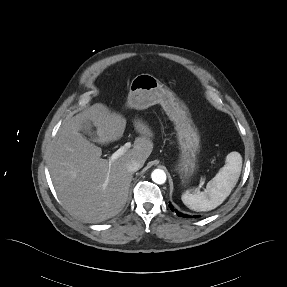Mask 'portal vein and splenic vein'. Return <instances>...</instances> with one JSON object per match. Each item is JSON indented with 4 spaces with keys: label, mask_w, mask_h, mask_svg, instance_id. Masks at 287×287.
I'll return each mask as SVG.
<instances>
[{
    "label": "portal vein and splenic vein",
    "mask_w": 287,
    "mask_h": 287,
    "mask_svg": "<svg viewBox=\"0 0 287 287\" xmlns=\"http://www.w3.org/2000/svg\"><path fill=\"white\" fill-rule=\"evenodd\" d=\"M131 147V143L127 142L123 146H121L118 150H116L109 158L110 163L113 162L114 160L118 159L122 155H124L128 149Z\"/></svg>",
    "instance_id": "1"
}]
</instances>
